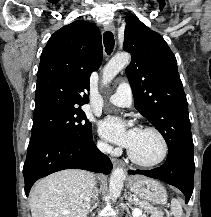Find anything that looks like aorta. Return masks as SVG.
Segmentation results:
<instances>
[{
  "mask_svg": "<svg viewBox=\"0 0 211 217\" xmlns=\"http://www.w3.org/2000/svg\"><path fill=\"white\" fill-rule=\"evenodd\" d=\"M131 59L130 54L120 53L115 55L103 68L102 83L104 85L109 84L114 77L127 65ZM125 180V172L122 168L117 167L112 171L109 183V191L114 201L117 199L123 188V182Z\"/></svg>",
  "mask_w": 211,
  "mask_h": 217,
  "instance_id": "obj_1",
  "label": "aorta"
}]
</instances>
